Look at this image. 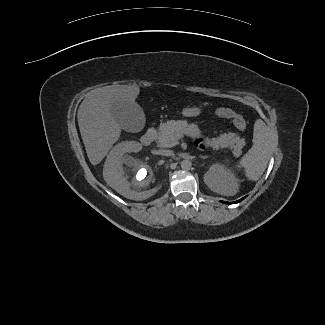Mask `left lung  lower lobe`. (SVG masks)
Returning a JSON list of instances; mask_svg holds the SVG:
<instances>
[{
	"label": "left lung lower lobe",
	"mask_w": 325,
	"mask_h": 325,
	"mask_svg": "<svg viewBox=\"0 0 325 325\" xmlns=\"http://www.w3.org/2000/svg\"><path fill=\"white\" fill-rule=\"evenodd\" d=\"M245 198V197H244ZM244 198H242V199H239V200H237V201H235V202H225V201H222L223 203H226V204H234V203H239V202H241Z\"/></svg>",
	"instance_id": "0a47b994"
}]
</instances>
